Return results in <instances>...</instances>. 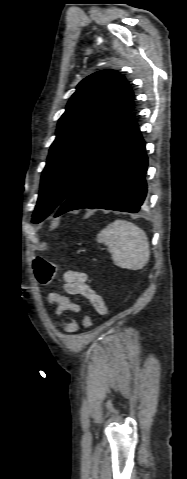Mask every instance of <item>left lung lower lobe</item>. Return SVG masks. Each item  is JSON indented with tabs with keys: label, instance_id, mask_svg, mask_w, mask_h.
<instances>
[{
	"label": "left lung lower lobe",
	"instance_id": "1",
	"mask_svg": "<svg viewBox=\"0 0 187 479\" xmlns=\"http://www.w3.org/2000/svg\"><path fill=\"white\" fill-rule=\"evenodd\" d=\"M147 166L145 143L132 111L115 142L89 168L55 216L83 208L139 212L147 194Z\"/></svg>",
	"mask_w": 187,
	"mask_h": 479
}]
</instances>
